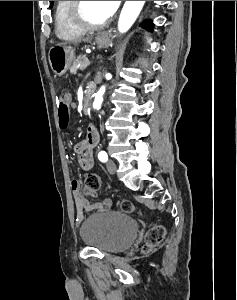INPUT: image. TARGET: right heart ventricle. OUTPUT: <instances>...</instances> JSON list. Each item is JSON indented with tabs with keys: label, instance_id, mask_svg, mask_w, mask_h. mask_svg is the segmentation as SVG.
Instances as JSON below:
<instances>
[{
	"label": "right heart ventricle",
	"instance_id": "obj_1",
	"mask_svg": "<svg viewBox=\"0 0 237 300\" xmlns=\"http://www.w3.org/2000/svg\"><path fill=\"white\" fill-rule=\"evenodd\" d=\"M72 1H56L55 5V25L58 37L70 39L81 36L85 31L77 27L71 20L70 7Z\"/></svg>",
	"mask_w": 237,
	"mask_h": 300
}]
</instances>
